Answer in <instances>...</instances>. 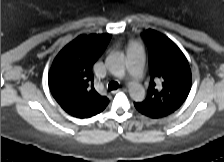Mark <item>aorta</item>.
Masks as SVG:
<instances>
[{
  "label": "aorta",
  "instance_id": "762f6f07",
  "mask_svg": "<svg viewBox=\"0 0 224 162\" xmlns=\"http://www.w3.org/2000/svg\"><path fill=\"white\" fill-rule=\"evenodd\" d=\"M106 65L112 75L118 78H123L125 76V61L122 54H111L106 60ZM128 87L129 94L132 100H134L135 102H141L144 100L145 89L142 85L135 81H132L129 83Z\"/></svg>",
  "mask_w": 224,
  "mask_h": 162
}]
</instances>
